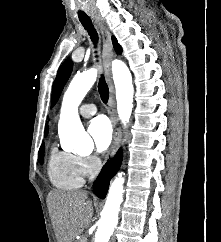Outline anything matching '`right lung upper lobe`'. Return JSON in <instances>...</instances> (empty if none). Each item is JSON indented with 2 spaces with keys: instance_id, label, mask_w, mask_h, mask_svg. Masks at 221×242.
<instances>
[{
  "instance_id": "1",
  "label": "right lung upper lobe",
  "mask_w": 221,
  "mask_h": 242,
  "mask_svg": "<svg viewBox=\"0 0 221 242\" xmlns=\"http://www.w3.org/2000/svg\"><path fill=\"white\" fill-rule=\"evenodd\" d=\"M48 134V125H46V128H45V136Z\"/></svg>"
}]
</instances>
